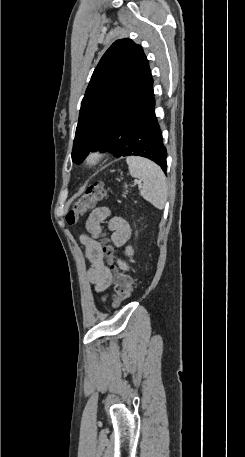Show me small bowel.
<instances>
[{"label":"small bowel","instance_id":"1","mask_svg":"<svg viewBox=\"0 0 245 457\" xmlns=\"http://www.w3.org/2000/svg\"><path fill=\"white\" fill-rule=\"evenodd\" d=\"M107 207H97L89 215L86 221L87 234L80 237L85 247L86 257L91 263L88 270V278L94 284L97 292L105 291L111 284L112 274L103 259V252L100 243L96 240L101 232V224L108 220V227L112 232V242L117 246H124L130 238L131 228L128 222L122 217H111ZM126 253H133L131 247L126 248ZM120 268L127 270V264L119 260Z\"/></svg>","mask_w":245,"mask_h":457}]
</instances>
